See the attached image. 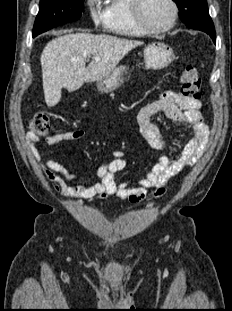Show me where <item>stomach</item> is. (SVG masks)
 Wrapping results in <instances>:
<instances>
[{"label": "stomach", "instance_id": "1", "mask_svg": "<svg viewBox=\"0 0 232 311\" xmlns=\"http://www.w3.org/2000/svg\"><path fill=\"white\" fill-rule=\"evenodd\" d=\"M175 55L171 47L161 42H154L144 49V62L147 69L159 70L167 67L174 60ZM125 66L119 67L108 76L96 81L97 90L108 93L117 89L122 83V73L126 71Z\"/></svg>", "mask_w": 232, "mask_h": 311}]
</instances>
